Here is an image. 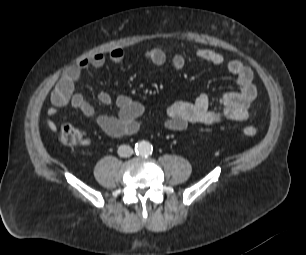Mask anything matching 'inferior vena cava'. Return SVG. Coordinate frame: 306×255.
<instances>
[{
	"label": "inferior vena cava",
	"instance_id": "1",
	"mask_svg": "<svg viewBox=\"0 0 306 255\" xmlns=\"http://www.w3.org/2000/svg\"><path fill=\"white\" fill-rule=\"evenodd\" d=\"M133 154V149L128 145H121L118 148V155L120 157H130Z\"/></svg>",
	"mask_w": 306,
	"mask_h": 255
}]
</instances>
